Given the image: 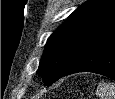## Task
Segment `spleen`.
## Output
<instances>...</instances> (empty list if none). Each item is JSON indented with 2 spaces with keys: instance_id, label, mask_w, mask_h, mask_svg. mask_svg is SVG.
I'll list each match as a JSON object with an SVG mask.
<instances>
[{
  "instance_id": "3e777b00",
  "label": "spleen",
  "mask_w": 115,
  "mask_h": 99,
  "mask_svg": "<svg viewBox=\"0 0 115 99\" xmlns=\"http://www.w3.org/2000/svg\"><path fill=\"white\" fill-rule=\"evenodd\" d=\"M96 95L100 99H115V84L100 83L98 85Z\"/></svg>"
}]
</instances>
